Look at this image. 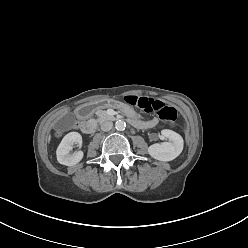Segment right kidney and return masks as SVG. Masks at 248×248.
Listing matches in <instances>:
<instances>
[{"mask_svg": "<svg viewBox=\"0 0 248 248\" xmlns=\"http://www.w3.org/2000/svg\"><path fill=\"white\" fill-rule=\"evenodd\" d=\"M82 145V136L78 132H70L65 135L56 150L57 161L66 166H73L79 163L83 158V151L79 150L70 154L73 144Z\"/></svg>", "mask_w": 248, "mask_h": 248, "instance_id": "ca27d5eb", "label": "right kidney"}]
</instances>
